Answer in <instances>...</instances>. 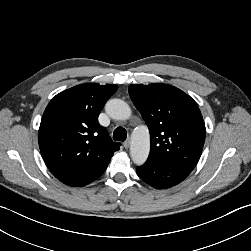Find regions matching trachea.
Listing matches in <instances>:
<instances>
[{
  "instance_id": "trachea-1",
  "label": "trachea",
  "mask_w": 251,
  "mask_h": 251,
  "mask_svg": "<svg viewBox=\"0 0 251 251\" xmlns=\"http://www.w3.org/2000/svg\"><path fill=\"white\" fill-rule=\"evenodd\" d=\"M127 138V131L123 127H117L113 133V139L116 141H125Z\"/></svg>"
}]
</instances>
